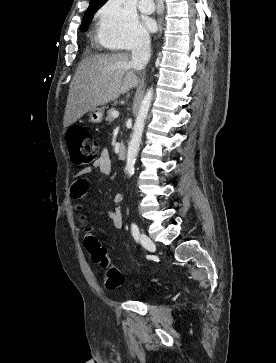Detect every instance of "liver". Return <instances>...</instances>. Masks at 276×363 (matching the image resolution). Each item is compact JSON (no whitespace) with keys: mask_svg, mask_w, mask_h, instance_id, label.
<instances>
[{"mask_svg":"<svg viewBox=\"0 0 276 363\" xmlns=\"http://www.w3.org/2000/svg\"><path fill=\"white\" fill-rule=\"evenodd\" d=\"M127 53L92 55L81 61L70 84L64 128L139 84Z\"/></svg>","mask_w":276,"mask_h":363,"instance_id":"obj_1","label":"liver"}]
</instances>
